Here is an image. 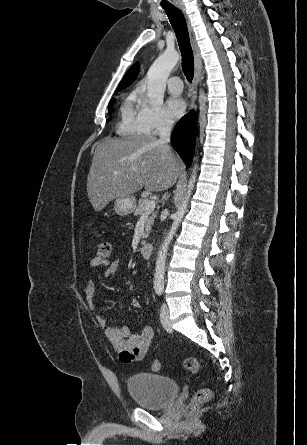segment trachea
I'll use <instances>...</instances> for the list:
<instances>
[{
  "label": "trachea",
  "instance_id": "trachea-1",
  "mask_svg": "<svg viewBox=\"0 0 307 445\" xmlns=\"http://www.w3.org/2000/svg\"><path fill=\"white\" fill-rule=\"evenodd\" d=\"M166 14L175 31L182 56V70L189 82L194 75L193 52L189 41V33L185 18L181 10L174 6L164 7Z\"/></svg>",
  "mask_w": 307,
  "mask_h": 445
}]
</instances>
